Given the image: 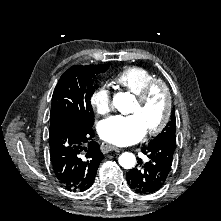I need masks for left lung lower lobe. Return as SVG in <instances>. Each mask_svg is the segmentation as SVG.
<instances>
[{
    "label": "left lung lower lobe",
    "mask_w": 221,
    "mask_h": 221,
    "mask_svg": "<svg viewBox=\"0 0 221 221\" xmlns=\"http://www.w3.org/2000/svg\"><path fill=\"white\" fill-rule=\"evenodd\" d=\"M175 149L176 143L167 139L143 148L150 161L143 164L139 159L136 168L127 173L130 188L139 194H152L161 189L171 170Z\"/></svg>",
    "instance_id": "0a47b994"
}]
</instances>
